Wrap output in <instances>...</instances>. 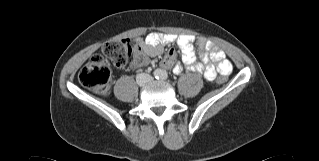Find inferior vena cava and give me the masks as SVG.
<instances>
[{"label": "inferior vena cava", "mask_w": 319, "mask_h": 161, "mask_svg": "<svg viewBox=\"0 0 319 161\" xmlns=\"http://www.w3.org/2000/svg\"><path fill=\"white\" fill-rule=\"evenodd\" d=\"M152 80V76L146 73H141L136 76V81L139 85H145Z\"/></svg>", "instance_id": "obj_1"}]
</instances>
